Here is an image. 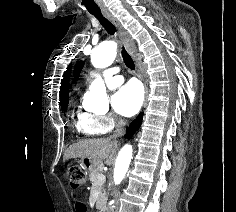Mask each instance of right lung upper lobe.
<instances>
[{"label": "right lung upper lobe", "instance_id": "right-lung-upper-lobe-1", "mask_svg": "<svg viewBox=\"0 0 236 212\" xmlns=\"http://www.w3.org/2000/svg\"><path fill=\"white\" fill-rule=\"evenodd\" d=\"M70 72H71V64L68 66L67 70L65 71L63 75V79L61 81V87H60V101H63L65 99H68V81L70 77Z\"/></svg>", "mask_w": 236, "mask_h": 212}]
</instances>
